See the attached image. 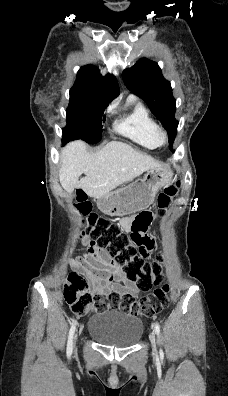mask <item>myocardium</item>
I'll return each instance as SVG.
<instances>
[{"instance_id": "f54148a6", "label": "myocardium", "mask_w": 228, "mask_h": 396, "mask_svg": "<svg viewBox=\"0 0 228 396\" xmlns=\"http://www.w3.org/2000/svg\"><path fill=\"white\" fill-rule=\"evenodd\" d=\"M155 138L158 146L165 145L168 142V135L162 129L156 131Z\"/></svg>"}]
</instances>
